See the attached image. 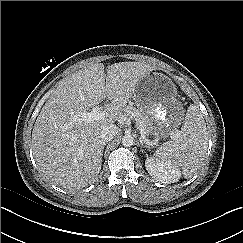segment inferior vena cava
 <instances>
[{
    "mask_svg": "<svg viewBox=\"0 0 243 243\" xmlns=\"http://www.w3.org/2000/svg\"><path fill=\"white\" fill-rule=\"evenodd\" d=\"M119 133V128L114 125V124H110L106 127H104L101 131V141L105 144L111 140H113Z\"/></svg>",
    "mask_w": 243,
    "mask_h": 243,
    "instance_id": "602c4592",
    "label": "inferior vena cava"
}]
</instances>
